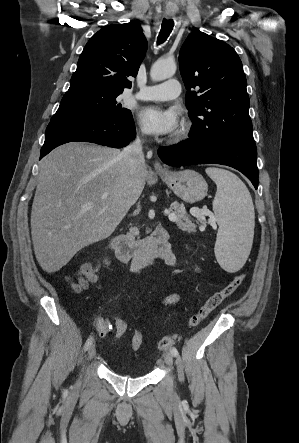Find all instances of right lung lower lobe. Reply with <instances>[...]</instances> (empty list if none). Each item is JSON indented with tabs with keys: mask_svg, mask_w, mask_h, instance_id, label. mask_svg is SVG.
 I'll return each mask as SVG.
<instances>
[{
	"mask_svg": "<svg viewBox=\"0 0 299 443\" xmlns=\"http://www.w3.org/2000/svg\"><path fill=\"white\" fill-rule=\"evenodd\" d=\"M135 135L132 114L104 119L52 117L46 129L40 159L68 142L83 141L121 148L128 145Z\"/></svg>",
	"mask_w": 299,
	"mask_h": 443,
	"instance_id": "right-lung-lower-lobe-1",
	"label": "right lung lower lobe"
}]
</instances>
